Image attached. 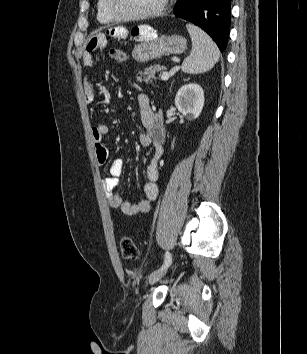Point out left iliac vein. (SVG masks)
<instances>
[{"label": "left iliac vein", "mask_w": 307, "mask_h": 354, "mask_svg": "<svg viewBox=\"0 0 307 354\" xmlns=\"http://www.w3.org/2000/svg\"><path fill=\"white\" fill-rule=\"evenodd\" d=\"M167 272V269H164V270H157L155 272H153L149 278H148V282L149 284H154L156 283L158 280H160Z\"/></svg>", "instance_id": "1"}]
</instances>
